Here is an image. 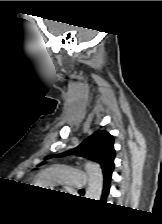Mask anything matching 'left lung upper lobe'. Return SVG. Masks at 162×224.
Segmentation results:
<instances>
[{
  "label": "left lung upper lobe",
  "mask_w": 162,
  "mask_h": 224,
  "mask_svg": "<svg viewBox=\"0 0 162 224\" xmlns=\"http://www.w3.org/2000/svg\"><path fill=\"white\" fill-rule=\"evenodd\" d=\"M86 157L100 164L103 175L111 173L114 168V139L107 131H97L85 139L78 147L56 156L71 155ZM54 156H49L52 158Z\"/></svg>",
  "instance_id": "5c2ea615"
}]
</instances>
